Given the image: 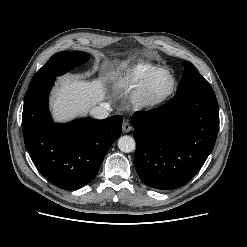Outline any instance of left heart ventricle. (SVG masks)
I'll use <instances>...</instances> for the list:
<instances>
[{
  "instance_id": "left-heart-ventricle-1",
  "label": "left heart ventricle",
  "mask_w": 247,
  "mask_h": 247,
  "mask_svg": "<svg viewBox=\"0 0 247 247\" xmlns=\"http://www.w3.org/2000/svg\"><path fill=\"white\" fill-rule=\"evenodd\" d=\"M171 84V78L167 73H154L146 83L144 94L149 99H159L170 90Z\"/></svg>"
}]
</instances>
